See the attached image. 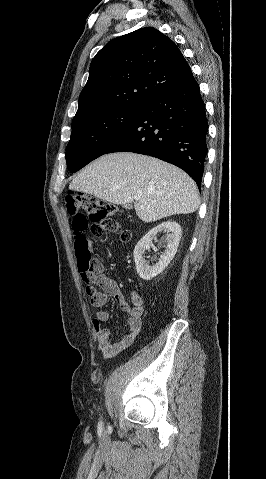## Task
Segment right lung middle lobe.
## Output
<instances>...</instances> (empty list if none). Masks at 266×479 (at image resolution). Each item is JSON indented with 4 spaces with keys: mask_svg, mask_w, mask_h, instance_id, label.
<instances>
[{
    "mask_svg": "<svg viewBox=\"0 0 266 479\" xmlns=\"http://www.w3.org/2000/svg\"><path fill=\"white\" fill-rule=\"evenodd\" d=\"M144 108H121L72 121L71 139L66 148L70 172H76L104 154L106 149L141 114Z\"/></svg>",
    "mask_w": 266,
    "mask_h": 479,
    "instance_id": "1",
    "label": "right lung middle lobe"
}]
</instances>
